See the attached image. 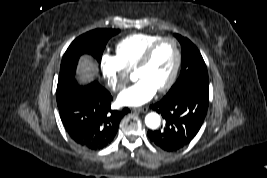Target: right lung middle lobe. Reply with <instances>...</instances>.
Returning a JSON list of instances; mask_svg holds the SVG:
<instances>
[{"mask_svg":"<svg viewBox=\"0 0 267 178\" xmlns=\"http://www.w3.org/2000/svg\"><path fill=\"white\" fill-rule=\"evenodd\" d=\"M117 33L119 30L95 29L76 38L63 55L59 80L74 76L78 60L83 54L91 55L100 62L107 41Z\"/></svg>","mask_w":267,"mask_h":178,"instance_id":"right-lung-middle-lobe-1","label":"right lung middle lobe"}]
</instances>
